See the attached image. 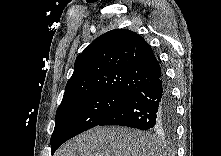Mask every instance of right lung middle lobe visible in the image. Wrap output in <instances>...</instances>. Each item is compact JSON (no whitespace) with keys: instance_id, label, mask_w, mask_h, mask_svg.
<instances>
[{"instance_id":"1","label":"right lung middle lobe","mask_w":221,"mask_h":156,"mask_svg":"<svg viewBox=\"0 0 221 156\" xmlns=\"http://www.w3.org/2000/svg\"><path fill=\"white\" fill-rule=\"evenodd\" d=\"M128 98L121 94L96 93L62 102L50 141L52 154L68 139L99 125Z\"/></svg>"}]
</instances>
